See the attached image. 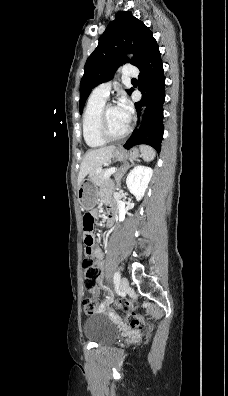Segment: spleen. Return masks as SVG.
Segmentation results:
<instances>
[{
	"label": "spleen",
	"mask_w": 228,
	"mask_h": 396,
	"mask_svg": "<svg viewBox=\"0 0 228 396\" xmlns=\"http://www.w3.org/2000/svg\"><path fill=\"white\" fill-rule=\"evenodd\" d=\"M140 152H141V155H142L144 161H146V162L152 161L155 157V151L150 146L141 145Z\"/></svg>",
	"instance_id": "spleen-1"
}]
</instances>
